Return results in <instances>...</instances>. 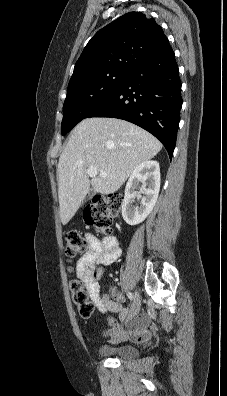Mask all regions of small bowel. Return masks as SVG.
<instances>
[{
    "mask_svg": "<svg viewBox=\"0 0 227 396\" xmlns=\"http://www.w3.org/2000/svg\"><path fill=\"white\" fill-rule=\"evenodd\" d=\"M86 237L88 250L77 262V277L83 282L92 302L101 312H114L121 322L128 323L127 333L118 324H114L105 334L110 336L113 341H121L126 337L139 342L146 341L149 337L147 327L150 317L147 314H142L131 318L129 309L123 305L125 300L123 294L115 287L106 292L100 284L104 269L113 264L120 256L118 241L114 237L99 240L90 233ZM111 322L115 321L111 319Z\"/></svg>",
    "mask_w": 227,
    "mask_h": 396,
    "instance_id": "c3829d8e",
    "label": "small bowel"
}]
</instances>
